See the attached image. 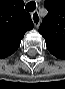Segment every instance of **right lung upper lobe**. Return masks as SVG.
<instances>
[{
	"instance_id": "right-lung-upper-lobe-1",
	"label": "right lung upper lobe",
	"mask_w": 65,
	"mask_h": 89,
	"mask_svg": "<svg viewBox=\"0 0 65 89\" xmlns=\"http://www.w3.org/2000/svg\"><path fill=\"white\" fill-rule=\"evenodd\" d=\"M34 24L22 0H0V59L14 53Z\"/></svg>"
}]
</instances>
